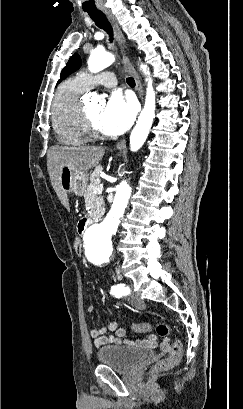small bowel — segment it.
I'll list each match as a JSON object with an SVG mask.
<instances>
[{"label": "small bowel", "mask_w": 243, "mask_h": 409, "mask_svg": "<svg viewBox=\"0 0 243 409\" xmlns=\"http://www.w3.org/2000/svg\"><path fill=\"white\" fill-rule=\"evenodd\" d=\"M94 311L95 307L93 305L87 307L88 313H93ZM108 332H111V334L106 335ZM90 334L96 347H101L105 344L126 345L150 349L157 347V338L155 335L150 334L146 338H126L124 329L119 328L115 322L108 325H94ZM162 349L164 351L169 350V348L165 346H162Z\"/></svg>", "instance_id": "obj_1"}]
</instances>
